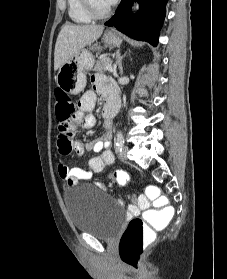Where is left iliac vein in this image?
<instances>
[{"label": "left iliac vein", "mask_w": 227, "mask_h": 279, "mask_svg": "<svg viewBox=\"0 0 227 279\" xmlns=\"http://www.w3.org/2000/svg\"><path fill=\"white\" fill-rule=\"evenodd\" d=\"M128 151H129V147L124 146L122 148V151L120 152V158L122 160H127V158H128Z\"/></svg>", "instance_id": "left-iliac-vein-1"}]
</instances>
